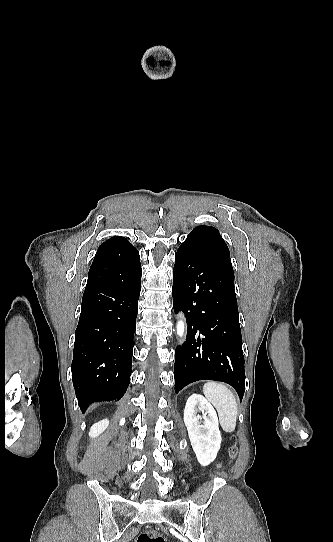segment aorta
Returning a JSON list of instances; mask_svg holds the SVG:
<instances>
[{
    "instance_id": "aorta-1",
    "label": "aorta",
    "mask_w": 333,
    "mask_h": 542,
    "mask_svg": "<svg viewBox=\"0 0 333 542\" xmlns=\"http://www.w3.org/2000/svg\"><path fill=\"white\" fill-rule=\"evenodd\" d=\"M176 332H177V336H179V338H184L185 322H184V320H182V318H180V320H178V322H177ZM180 342H182V340H180Z\"/></svg>"
}]
</instances>
